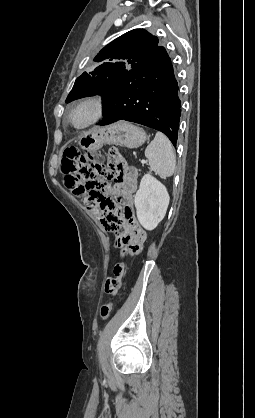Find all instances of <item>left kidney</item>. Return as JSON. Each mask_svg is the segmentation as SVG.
<instances>
[{"mask_svg":"<svg viewBox=\"0 0 255 418\" xmlns=\"http://www.w3.org/2000/svg\"><path fill=\"white\" fill-rule=\"evenodd\" d=\"M166 187L151 174H145L135 195L138 221L146 230L155 229L163 220L169 205Z\"/></svg>","mask_w":255,"mask_h":418,"instance_id":"obj_1","label":"left kidney"}]
</instances>
